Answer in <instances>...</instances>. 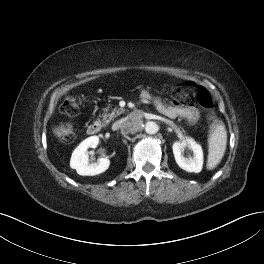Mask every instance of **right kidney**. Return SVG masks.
Wrapping results in <instances>:
<instances>
[{
    "label": "right kidney",
    "mask_w": 264,
    "mask_h": 264,
    "mask_svg": "<svg viewBox=\"0 0 264 264\" xmlns=\"http://www.w3.org/2000/svg\"><path fill=\"white\" fill-rule=\"evenodd\" d=\"M99 143L98 136H91L82 141L73 151L70 159V167L76 169L77 173L82 176H94L105 172L110 165L108 158H100L98 162L89 163L87 149L95 148Z\"/></svg>",
    "instance_id": "right-kidney-1"
}]
</instances>
